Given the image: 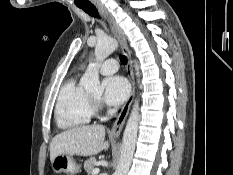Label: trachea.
<instances>
[{"label": "trachea", "instance_id": "trachea-1", "mask_svg": "<svg viewBox=\"0 0 233 175\" xmlns=\"http://www.w3.org/2000/svg\"><path fill=\"white\" fill-rule=\"evenodd\" d=\"M80 9H82L83 11H85L87 14H89L90 16L93 17H98V11L97 9L94 7V5H92L91 3L88 4H81V5H77ZM120 61L122 64H126L127 63V58L126 56H122L120 57Z\"/></svg>", "mask_w": 233, "mask_h": 175}]
</instances>
